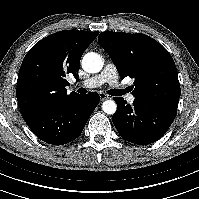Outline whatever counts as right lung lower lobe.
<instances>
[{
  "label": "right lung lower lobe",
  "mask_w": 199,
  "mask_h": 199,
  "mask_svg": "<svg viewBox=\"0 0 199 199\" xmlns=\"http://www.w3.org/2000/svg\"><path fill=\"white\" fill-rule=\"evenodd\" d=\"M99 95H77L25 117L32 132L42 141L63 145L76 139L99 103Z\"/></svg>",
  "instance_id": "1"
}]
</instances>
